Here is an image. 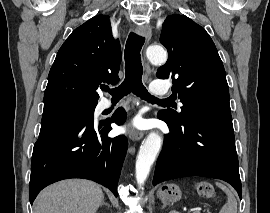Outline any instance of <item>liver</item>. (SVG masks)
<instances>
[{"label": "liver", "instance_id": "liver-1", "mask_svg": "<svg viewBox=\"0 0 270 213\" xmlns=\"http://www.w3.org/2000/svg\"><path fill=\"white\" fill-rule=\"evenodd\" d=\"M103 199L102 189L94 182L64 180L40 192L34 213H96Z\"/></svg>", "mask_w": 270, "mask_h": 213}]
</instances>
